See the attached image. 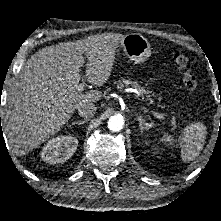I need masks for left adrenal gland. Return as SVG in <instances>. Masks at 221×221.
Masks as SVG:
<instances>
[{"mask_svg": "<svg viewBox=\"0 0 221 221\" xmlns=\"http://www.w3.org/2000/svg\"><path fill=\"white\" fill-rule=\"evenodd\" d=\"M138 121H139L140 131H141V133H143V131H144V130H147L148 128L143 125V122H142V120H141L140 117H138Z\"/></svg>", "mask_w": 221, "mask_h": 221, "instance_id": "left-adrenal-gland-1", "label": "left adrenal gland"}]
</instances>
